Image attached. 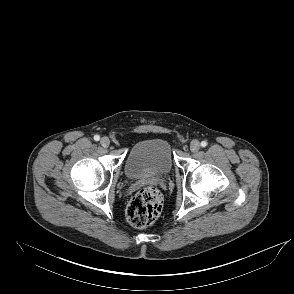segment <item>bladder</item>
<instances>
[{
  "label": "bladder",
  "instance_id": "obj_1",
  "mask_svg": "<svg viewBox=\"0 0 294 294\" xmlns=\"http://www.w3.org/2000/svg\"><path fill=\"white\" fill-rule=\"evenodd\" d=\"M173 166L174 156L169 141L151 138L131 147L125 161V173L131 179H143L165 175Z\"/></svg>",
  "mask_w": 294,
  "mask_h": 294
}]
</instances>
